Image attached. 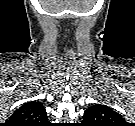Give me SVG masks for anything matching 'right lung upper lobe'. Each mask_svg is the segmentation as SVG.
Masks as SVG:
<instances>
[{"label": "right lung upper lobe", "instance_id": "cb5924a9", "mask_svg": "<svg viewBox=\"0 0 135 126\" xmlns=\"http://www.w3.org/2000/svg\"><path fill=\"white\" fill-rule=\"evenodd\" d=\"M6 126H47V113L42 103L30 101L17 109L5 123Z\"/></svg>", "mask_w": 135, "mask_h": 126}]
</instances>
